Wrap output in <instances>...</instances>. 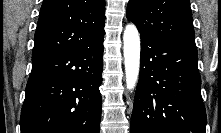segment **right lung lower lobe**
Masks as SVG:
<instances>
[{
    "label": "right lung lower lobe",
    "instance_id": "1",
    "mask_svg": "<svg viewBox=\"0 0 221 133\" xmlns=\"http://www.w3.org/2000/svg\"><path fill=\"white\" fill-rule=\"evenodd\" d=\"M104 34L32 57L21 133H99Z\"/></svg>",
    "mask_w": 221,
    "mask_h": 133
}]
</instances>
